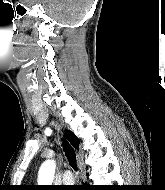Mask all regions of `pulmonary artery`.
Wrapping results in <instances>:
<instances>
[{
    "instance_id": "pulmonary-artery-1",
    "label": "pulmonary artery",
    "mask_w": 165,
    "mask_h": 190,
    "mask_svg": "<svg viewBox=\"0 0 165 190\" xmlns=\"http://www.w3.org/2000/svg\"><path fill=\"white\" fill-rule=\"evenodd\" d=\"M62 181L64 184H72L74 182L73 174L70 170H66L62 175Z\"/></svg>"
}]
</instances>
